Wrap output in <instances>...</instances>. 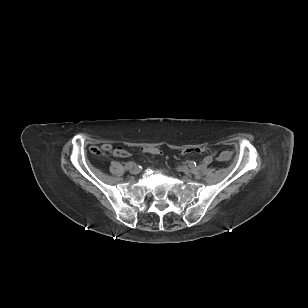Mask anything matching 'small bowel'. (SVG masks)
I'll list each match as a JSON object with an SVG mask.
<instances>
[{"label":"small bowel","mask_w":308,"mask_h":308,"mask_svg":"<svg viewBox=\"0 0 308 308\" xmlns=\"http://www.w3.org/2000/svg\"><path fill=\"white\" fill-rule=\"evenodd\" d=\"M108 148H111V146L109 144H103L101 145V150L102 151H106ZM95 149V148H94ZM94 149H92V152H94ZM229 158V153L227 151H224L222 152L220 155H219V160L221 161H225Z\"/></svg>","instance_id":"small-bowel-1"}]
</instances>
